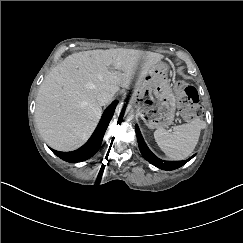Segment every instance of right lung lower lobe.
<instances>
[{
  "mask_svg": "<svg viewBox=\"0 0 243 243\" xmlns=\"http://www.w3.org/2000/svg\"><path fill=\"white\" fill-rule=\"evenodd\" d=\"M118 104L117 101L112 102V104L105 110V112L102 115V118L95 129L94 133L90 137V139L87 141L86 144H84L81 148L72 151V152H59L56 150H53V153L63 159L64 161L76 163L81 162L84 160L89 159L92 157L100 148L103 136L105 134V131L107 129V126L114 114L115 107Z\"/></svg>",
  "mask_w": 243,
  "mask_h": 243,
  "instance_id": "1",
  "label": "right lung lower lobe"
}]
</instances>
